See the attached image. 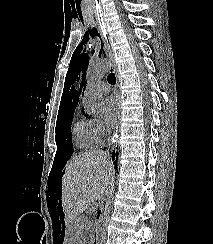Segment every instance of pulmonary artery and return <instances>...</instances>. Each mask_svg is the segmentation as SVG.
<instances>
[{"instance_id": "obj_1", "label": "pulmonary artery", "mask_w": 213, "mask_h": 244, "mask_svg": "<svg viewBox=\"0 0 213 244\" xmlns=\"http://www.w3.org/2000/svg\"><path fill=\"white\" fill-rule=\"evenodd\" d=\"M98 87L102 93H108L109 92L110 87H109V84L106 82L99 83Z\"/></svg>"}]
</instances>
